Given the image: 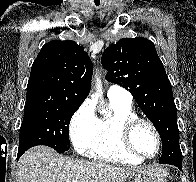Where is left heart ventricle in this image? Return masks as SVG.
I'll return each instance as SVG.
<instances>
[{
	"label": "left heart ventricle",
	"mask_w": 196,
	"mask_h": 182,
	"mask_svg": "<svg viewBox=\"0 0 196 182\" xmlns=\"http://www.w3.org/2000/svg\"><path fill=\"white\" fill-rule=\"evenodd\" d=\"M134 147L144 155H153L157 149V140L153 131L145 124L136 127L132 135Z\"/></svg>",
	"instance_id": "b2bd125f"
}]
</instances>
